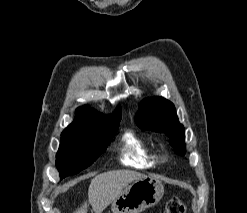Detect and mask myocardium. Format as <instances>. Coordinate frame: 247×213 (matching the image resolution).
Masks as SVG:
<instances>
[{
    "instance_id": "myocardium-1",
    "label": "myocardium",
    "mask_w": 247,
    "mask_h": 213,
    "mask_svg": "<svg viewBox=\"0 0 247 213\" xmlns=\"http://www.w3.org/2000/svg\"><path fill=\"white\" fill-rule=\"evenodd\" d=\"M162 161H165L166 160V157L165 156H161L160 157Z\"/></svg>"
}]
</instances>
